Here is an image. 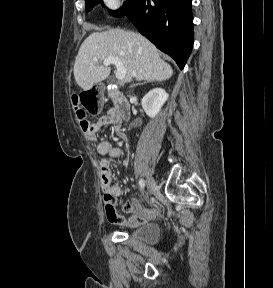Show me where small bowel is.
I'll list each match as a JSON object with an SVG mask.
<instances>
[{
  "label": "small bowel",
  "instance_id": "c3829d8e",
  "mask_svg": "<svg viewBox=\"0 0 273 288\" xmlns=\"http://www.w3.org/2000/svg\"><path fill=\"white\" fill-rule=\"evenodd\" d=\"M121 125L122 122L117 118L115 111L110 109L96 122L90 124L89 128L84 130V134L91 141H96V133L104 126H111L119 137L125 139ZM97 151L100 155L105 156L100 160L99 165L103 203L108 221L115 225L137 226L148 219L155 218L159 214L158 208H142L135 199L129 200L122 205L123 211L133 215L126 219L118 213L116 199L122 194V188L113 181L110 159L121 157L123 150L119 147H114L108 141H101L97 144Z\"/></svg>",
  "mask_w": 273,
  "mask_h": 288
}]
</instances>
